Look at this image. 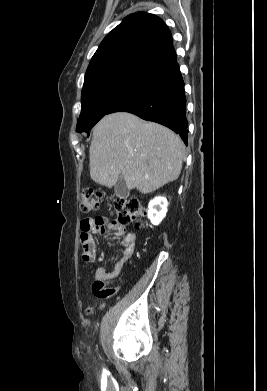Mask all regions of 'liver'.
<instances>
[{"mask_svg": "<svg viewBox=\"0 0 267 391\" xmlns=\"http://www.w3.org/2000/svg\"><path fill=\"white\" fill-rule=\"evenodd\" d=\"M90 176L111 188L120 175L129 189L150 193L176 180L184 159V143L168 128L117 112L93 129Z\"/></svg>", "mask_w": 267, "mask_h": 391, "instance_id": "liver-1", "label": "liver"}]
</instances>
